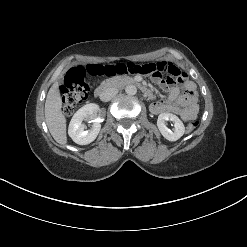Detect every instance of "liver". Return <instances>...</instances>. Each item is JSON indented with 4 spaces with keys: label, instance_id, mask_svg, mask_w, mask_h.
<instances>
[{
    "label": "liver",
    "instance_id": "obj_1",
    "mask_svg": "<svg viewBox=\"0 0 247 247\" xmlns=\"http://www.w3.org/2000/svg\"><path fill=\"white\" fill-rule=\"evenodd\" d=\"M62 102L58 83H54L47 94L45 102V119L48 129L55 139L61 145H66V118L61 110Z\"/></svg>",
    "mask_w": 247,
    "mask_h": 247
}]
</instances>
